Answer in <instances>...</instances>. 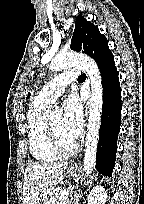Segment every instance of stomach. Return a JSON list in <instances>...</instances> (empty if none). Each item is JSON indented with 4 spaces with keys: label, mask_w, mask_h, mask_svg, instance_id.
Wrapping results in <instances>:
<instances>
[{
    "label": "stomach",
    "mask_w": 144,
    "mask_h": 204,
    "mask_svg": "<svg viewBox=\"0 0 144 204\" xmlns=\"http://www.w3.org/2000/svg\"><path fill=\"white\" fill-rule=\"evenodd\" d=\"M76 172H77V168L71 167V168H69V169L67 170V175H68V177H73V176L76 175ZM45 192H46V190H44V193H45ZM44 193H43V194H44ZM42 197H43V195H41L40 197H38V198L36 199V201H35L34 204H42Z\"/></svg>",
    "instance_id": "1"
}]
</instances>
